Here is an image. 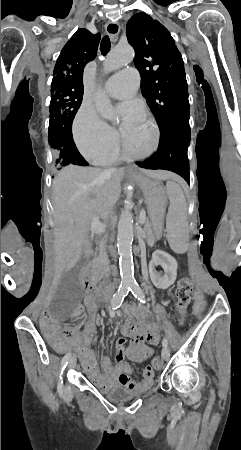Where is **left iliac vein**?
<instances>
[{
  "mask_svg": "<svg viewBox=\"0 0 241 450\" xmlns=\"http://www.w3.org/2000/svg\"><path fill=\"white\" fill-rule=\"evenodd\" d=\"M162 358L167 360L170 357V350L169 348L166 346L162 349Z\"/></svg>",
  "mask_w": 241,
  "mask_h": 450,
  "instance_id": "4c4485c4",
  "label": "left iliac vein"
}]
</instances>
